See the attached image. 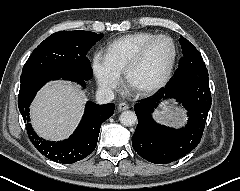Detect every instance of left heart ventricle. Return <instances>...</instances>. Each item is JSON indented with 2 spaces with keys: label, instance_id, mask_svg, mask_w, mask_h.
<instances>
[{
  "label": "left heart ventricle",
  "instance_id": "b2bd125f",
  "mask_svg": "<svg viewBox=\"0 0 240 191\" xmlns=\"http://www.w3.org/2000/svg\"><path fill=\"white\" fill-rule=\"evenodd\" d=\"M172 56L171 43L166 39L154 42L144 60L130 75L132 87H147L156 84L165 74Z\"/></svg>",
  "mask_w": 240,
  "mask_h": 191
}]
</instances>
